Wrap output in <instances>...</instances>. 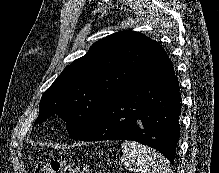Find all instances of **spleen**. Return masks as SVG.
Here are the masks:
<instances>
[{
	"instance_id": "obj_1",
	"label": "spleen",
	"mask_w": 219,
	"mask_h": 173,
	"mask_svg": "<svg viewBox=\"0 0 219 173\" xmlns=\"http://www.w3.org/2000/svg\"><path fill=\"white\" fill-rule=\"evenodd\" d=\"M122 162L131 172L174 173L169 162L157 151L134 141L122 143Z\"/></svg>"
}]
</instances>
